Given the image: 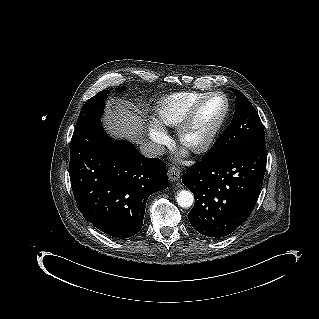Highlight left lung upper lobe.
<instances>
[{"label": "left lung upper lobe", "instance_id": "5c2ea615", "mask_svg": "<svg viewBox=\"0 0 319 319\" xmlns=\"http://www.w3.org/2000/svg\"><path fill=\"white\" fill-rule=\"evenodd\" d=\"M230 90L236 94L233 120L204 156L206 160H215L239 149L265 144L264 128L257 111L241 91L234 88Z\"/></svg>", "mask_w": 319, "mask_h": 319}]
</instances>
